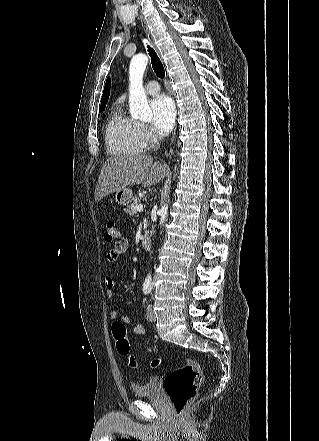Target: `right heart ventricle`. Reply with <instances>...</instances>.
Segmentation results:
<instances>
[{
	"instance_id": "1",
	"label": "right heart ventricle",
	"mask_w": 319,
	"mask_h": 441,
	"mask_svg": "<svg viewBox=\"0 0 319 441\" xmlns=\"http://www.w3.org/2000/svg\"><path fill=\"white\" fill-rule=\"evenodd\" d=\"M137 122L123 114L115 105L108 116L105 127V142L111 155L133 156L143 151L137 138Z\"/></svg>"
}]
</instances>
